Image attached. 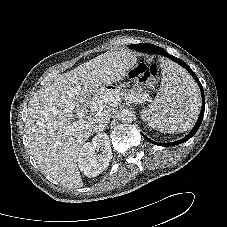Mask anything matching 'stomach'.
Returning a JSON list of instances; mask_svg holds the SVG:
<instances>
[{"label":"stomach","instance_id":"1","mask_svg":"<svg viewBox=\"0 0 227 227\" xmlns=\"http://www.w3.org/2000/svg\"><path fill=\"white\" fill-rule=\"evenodd\" d=\"M106 91L110 92L116 98H118L119 95H120L118 88L116 86H113V85L107 86Z\"/></svg>","mask_w":227,"mask_h":227}]
</instances>
